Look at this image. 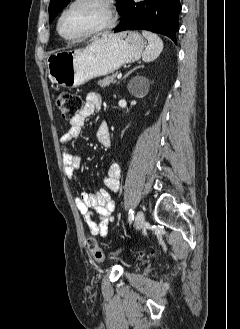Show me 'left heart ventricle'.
Returning a JSON list of instances; mask_svg holds the SVG:
<instances>
[{
	"instance_id": "obj_1",
	"label": "left heart ventricle",
	"mask_w": 240,
	"mask_h": 329,
	"mask_svg": "<svg viewBox=\"0 0 240 329\" xmlns=\"http://www.w3.org/2000/svg\"><path fill=\"white\" fill-rule=\"evenodd\" d=\"M107 22L105 8L94 0H86L73 6L63 17L61 32L67 37H74Z\"/></svg>"
}]
</instances>
